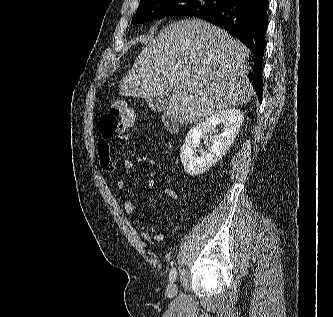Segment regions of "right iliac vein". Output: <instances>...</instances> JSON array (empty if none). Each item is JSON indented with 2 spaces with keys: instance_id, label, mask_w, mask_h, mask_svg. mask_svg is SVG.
<instances>
[{
  "instance_id": "right-iliac-vein-1",
  "label": "right iliac vein",
  "mask_w": 333,
  "mask_h": 317,
  "mask_svg": "<svg viewBox=\"0 0 333 317\" xmlns=\"http://www.w3.org/2000/svg\"><path fill=\"white\" fill-rule=\"evenodd\" d=\"M166 294L168 297H174L177 294V286L175 283L171 282L166 290Z\"/></svg>"
}]
</instances>
